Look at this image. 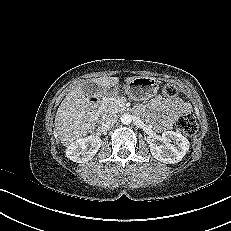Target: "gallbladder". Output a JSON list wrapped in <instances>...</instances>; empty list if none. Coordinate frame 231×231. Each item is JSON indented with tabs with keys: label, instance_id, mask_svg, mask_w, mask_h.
<instances>
[{
	"label": "gallbladder",
	"instance_id": "bac80fb5",
	"mask_svg": "<svg viewBox=\"0 0 231 231\" xmlns=\"http://www.w3.org/2000/svg\"><path fill=\"white\" fill-rule=\"evenodd\" d=\"M81 89L86 96L96 95L101 91V87L94 82L84 83Z\"/></svg>",
	"mask_w": 231,
	"mask_h": 231
}]
</instances>
